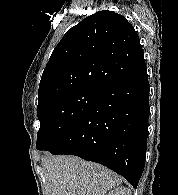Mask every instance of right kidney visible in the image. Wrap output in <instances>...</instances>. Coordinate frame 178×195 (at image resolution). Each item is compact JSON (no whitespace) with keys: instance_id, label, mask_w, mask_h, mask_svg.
<instances>
[{"instance_id":"right-kidney-1","label":"right kidney","mask_w":178,"mask_h":195,"mask_svg":"<svg viewBox=\"0 0 178 195\" xmlns=\"http://www.w3.org/2000/svg\"><path fill=\"white\" fill-rule=\"evenodd\" d=\"M107 195H131V191L125 187H117L109 191Z\"/></svg>"}]
</instances>
